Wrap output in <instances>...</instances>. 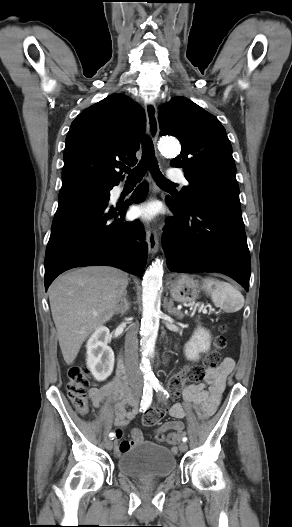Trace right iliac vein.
I'll return each instance as SVG.
<instances>
[{
	"label": "right iliac vein",
	"instance_id": "obj_1",
	"mask_svg": "<svg viewBox=\"0 0 292 527\" xmlns=\"http://www.w3.org/2000/svg\"><path fill=\"white\" fill-rule=\"evenodd\" d=\"M105 446H106V448H107L108 450H112V448H113V442H112V440H107V441L105 442Z\"/></svg>",
	"mask_w": 292,
	"mask_h": 527
}]
</instances>
